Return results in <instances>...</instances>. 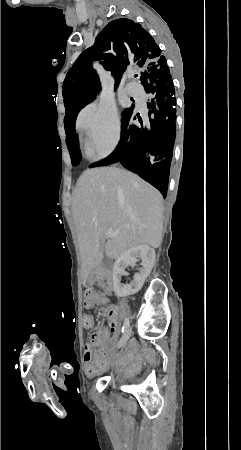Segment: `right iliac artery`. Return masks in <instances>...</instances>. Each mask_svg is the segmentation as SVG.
Masks as SVG:
<instances>
[{
    "label": "right iliac artery",
    "instance_id": "1",
    "mask_svg": "<svg viewBox=\"0 0 241 450\" xmlns=\"http://www.w3.org/2000/svg\"><path fill=\"white\" fill-rule=\"evenodd\" d=\"M129 327V320L126 319L122 327V333Z\"/></svg>",
    "mask_w": 241,
    "mask_h": 450
}]
</instances>
